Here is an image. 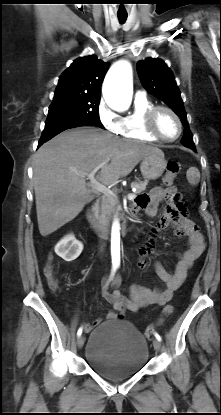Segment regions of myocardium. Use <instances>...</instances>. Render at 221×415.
<instances>
[{"label":"myocardium","instance_id":"myocardium-1","mask_svg":"<svg viewBox=\"0 0 221 415\" xmlns=\"http://www.w3.org/2000/svg\"><path fill=\"white\" fill-rule=\"evenodd\" d=\"M161 111H166L170 113L177 121L178 133L173 138H168V137L163 136L157 128V117ZM144 125H145V129L150 135H152L156 139L163 141V142H173L177 140L181 136L182 131H183V124H182V120L180 116L171 107L164 106V105H154L149 110H147L145 114V118H144Z\"/></svg>","mask_w":221,"mask_h":415}]
</instances>
